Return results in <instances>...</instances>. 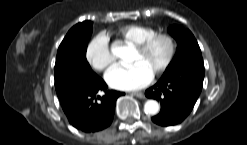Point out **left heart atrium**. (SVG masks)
<instances>
[{
    "label": "left heart atrium",
    "mask_w": 247,
    "mask_h": 145,
    "mask_svg": "<svg viewBox=\"0 0 247 145\" xmlns=\"http://www.w3.org/2000/svg\"><path fill=\"white\" fill-rule=\"evenodd\" d=\"M153 74L141 63L115 65L105 75L107 83L120 90H135L151 82Z\"/></svg>",
    "instance_id": "obj_1"
}]
</instances>
